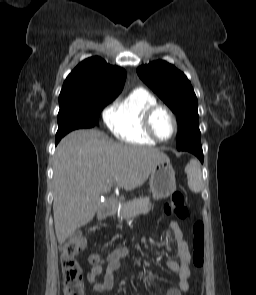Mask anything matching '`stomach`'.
<instances>
[{
    "instance_id": "0dacf381",
    "label": "stomach",
    "mask_w": 256,
    "mask_h": 295,
    "mask_svg": "<svg viewBox=\"0 0 256 295\" xmlns=\"http://www.w3.org/2000/svg\"><path fill=\"white\" fill-rule=\"evenodd\" d=\"M149 183L154 199L166 198L176 190L175 171L169 158L157 163Z\"/></svg>"
}]
</instances>
